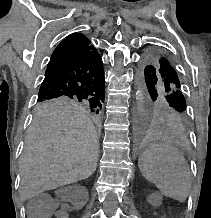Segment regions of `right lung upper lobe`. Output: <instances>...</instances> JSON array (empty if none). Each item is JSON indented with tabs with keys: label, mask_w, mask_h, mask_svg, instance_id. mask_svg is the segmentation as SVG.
Here are the masks:
<instances>
[{
	"label": "right lung upper lobe",
	"mask_w": 211,
	"mask_h": 218,
	"mask_svg": "<svg viewBox=\"0 0 211 218\" xmlns=\"http://www.w3.org/2000/svg\"><path fill=\"white\" fill-rule=\"evenodd\" d=\"M96 52L90 41L81 34H72L66 37L55 49L48 66L56 63Z\"/></svg>",
	"instance_id": "cb5924a9"
}]
</instances>
